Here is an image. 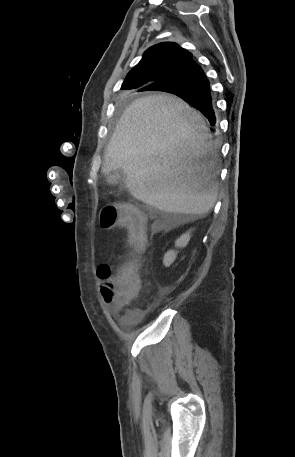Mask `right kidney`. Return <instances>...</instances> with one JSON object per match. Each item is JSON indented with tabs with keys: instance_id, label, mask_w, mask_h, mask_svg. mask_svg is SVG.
<instances>
[{
	"instance_id": "obj_1",
	"label": "right kidney",
	"mask_w": 295,
	"mask_h": 457,
	"mask_svg": "<svg viewBox=\"0 0 295 457\" xmlns=\"http://www.w3.org/2000/svg\"><path fill=\"white\" fill-rule=\"evenodd\" d=\"M189 240H190V234L188 232L186 234H183L180 238H178L175 242V245L177 247H185L188 244ZM176 256H177V253H175L174 251H172V250L168 251L164 255V260H163L164 265L170 266L174 262Z\"/></svg>"
}]
</instances>
